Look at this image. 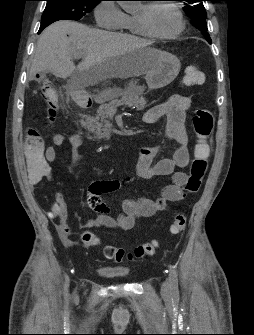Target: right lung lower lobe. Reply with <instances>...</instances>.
I'll return each instance as SVG.
<instances>
[{"label": "right lung lower lobe", "instance_id": "1", "mask_svg": "<svg viewBox=\"0 0 254 335\" xmlns=\"http://www.w3.org/2000/svg\"><path fill=\"white\" fill-rule=\"evenodd\" d=\"M51 23L53 22H48V23H44V24H41L40 28H39V31H38V34L42 32V30L44 28H46L48 25H50Z\"/></svg>", "mask_w": 254, "mask_h": 335}]
</instances>
